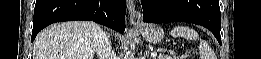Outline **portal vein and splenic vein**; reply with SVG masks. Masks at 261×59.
Returning <instances> with one entry per match:
<instances>
[{
    "label": "portal vein and splenic vein",
    "mask_w": 261,
    "mask_h": 59,
    "mask_svg": "<svg viewBox=\"0 0 261 59\" xmlns=\"http://www.w3.org/2000/svg\"><path fill=\"white\" fill-rule=\"evenodd\" d=\"M156 55H157V52H152V53H151V56H152V57H155Z\"/></svg>",
    "instance_id": "18ae733b"
}]
</instances>
